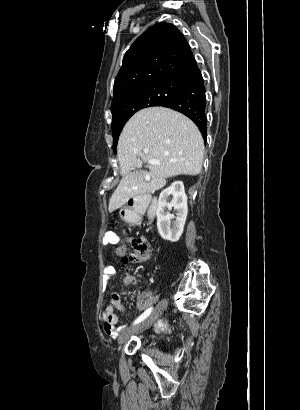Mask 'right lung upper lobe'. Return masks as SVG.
Instances as JSON below:
<instances>
[{
	"instance_id": "right-lung-upper-lobe-1",
	"label": "right lung upper lobe",
	"mask_w": 300,
	"mask_h": 410,
	"mask_svg": "<svg viewBox=\"0 0 300 410\" xmlns=\"http://www.w3.org/2000/svg\"><path fill=\"white\" fill-rule=\"evenodd\" d=\"M198 70L183 34L170 23L150 27L131 45L114 82L112 115L131 90L161 83H185Z\"/></svg>"
}]
</instances>
